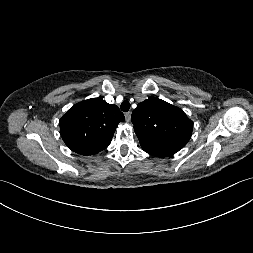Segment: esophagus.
Instances as JSON below:
<instances>
[{
	"mask_svg": "<svg viewBox=\"0 0 253 253\" xmlns=\"http://www.w3.org/2000/svg\"><path fill=\"white\" fill-rule=\"evenodd\" d=\"M125 120L129 122L131 120V112L125 113Z\"/></svg>",
	"mask_w": 253,
	"mask_h": 253,
	"instance_id": "obj_1",
	"label": "esophagus"
}]
</instances>
